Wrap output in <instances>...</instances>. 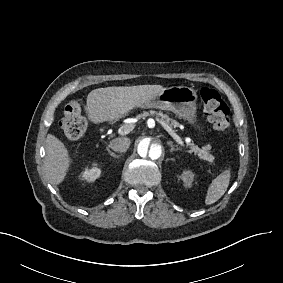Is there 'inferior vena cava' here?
Instances as JSON below:
<instances>
[{"mask_svg": "<svg viewBox=\"0 0 283 283\" xmlns=\"http://www.w3.org/2000/svg\"><path fill=\"white\" fill-rule=\"evenodd\" d=\"M130 145V139L126 137L116 138L110 142V148L116 152H126Z\"/></svg>", "mask_w": 283, "mask_h": 283, "instance_id": "obj_1", "label": "inferior vena cava"}]
</instances>
